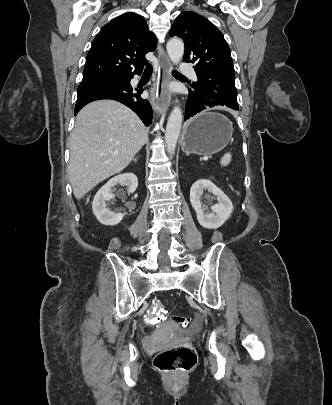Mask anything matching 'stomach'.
Segmentation results:
<instances>
[{
	"mask_svg": "<svg viewBox=\"0 0 332 405\" xmlns=\"http://www.w3.org/2000/svg\"><path fill=\"white\" fill-rule=\"evenodd\" d=\"M232 133V124L225 116L206 110L186 124L182 149L187 154L209 156L225 148Z\"/></svg>",
	"mask_w": 332,
	"mask_h": 405,
	"instance_id": "stomach-1",
	"label": "stomach"
}]
</instances>
